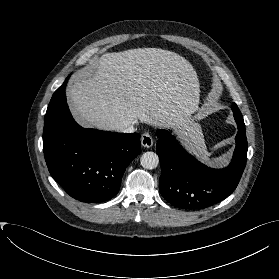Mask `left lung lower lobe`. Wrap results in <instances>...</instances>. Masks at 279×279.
<instances>
[{"label":"left lung lower lobe","instance_id":"obj_1","mask_svg":"<svg viewBox=\"0 0 279 279\" xmlns=\"http://www.w3.org/2000/svg\"><path fill=\"white\" fill-rule=\"evenodd\" d=\"M238 126L236 148L230 165L212 169L186 152L166 130H157L161 163L160 191L166 201L183 209H204L227 198L237 187L247 160L244 121Z\"/></svg>","mask_w":279,"mask_h":279}]
</instances>
